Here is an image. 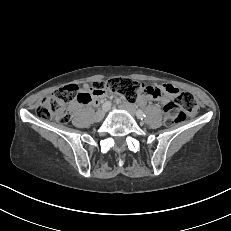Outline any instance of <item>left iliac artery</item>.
<instances>
[{
	"label": "left iliac artery",
	"mask_w": 231,
	"mask_h": 231,
	"mask_svg": "<svg viewBox=\"0 0 231 231\" xmlns=\"http://www.w3.org/2000/svg\"><path fill=\"white\" fill-rule=\"evenodd\" d=\"M137 117L140 118V119H143V118L146 117V113L144 111H142V110L139 109L137 111Z\"/></svg>",
	"instance_id": "1"
}]
</instances>
